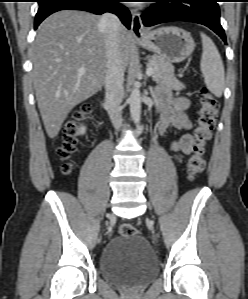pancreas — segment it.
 I'll list each match as a JSON object with an SVG mask.
<instances>
[{"mask_svg":"<svg viewBox=\"0 0 248 299\" xmlns=\"http://www.w3.org/2000/svg\"><path fill=\"white\" fill-rule=\"evenodd\" d=\"M151 62L149 67L153 68V81L163 83L176 91H181L185 88V86L175 77L174 67L169 61L154 55L151 57Z\"/></svg>","mask_w":248,"mask_h":299,"instance_id":"obj_1","label":"pancreas"}]
</instances>
